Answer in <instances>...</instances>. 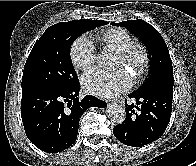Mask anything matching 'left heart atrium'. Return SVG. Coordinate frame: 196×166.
<instances>
[{
	"instance_id": "left-heart-atrium-1",
	"label": "left heart atrium",
	"mask_w": 196,
	"mask_h": 166,
	"mask_svg": "<svg viewBox=\"0 0 196 166\" xmlns=\"http://www.w3.org/2000/svg\"><path fill=\"white\" fill-rule=\"evenodd\" d=\"M82 85L86 92L111 97L127 91L133 85L131 74L125 69L104 71L93 69L82 77Z\"/></svg>"
}]
</instances>
